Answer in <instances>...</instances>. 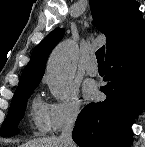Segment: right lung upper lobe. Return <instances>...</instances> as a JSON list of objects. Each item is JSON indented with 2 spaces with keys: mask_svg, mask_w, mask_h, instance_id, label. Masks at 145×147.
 <instances>
[{
  "mask_svg": "<svg viewBox=\"0 0 145 147\" xmlns=\"http://www.w3.org/2000/svg\"><path fill=\"white\" fill-rule=\"evenodd\" d=\"M90 8L94 25L107 38L106 55L145 23L139 11V4L134 0H90ZM63 35L64 30L57 28L35 47L20 77L17 90L38 86L44 74L47 58Z\"/></svg>",
  "mask_w": 145,
  "mask_h": 147,
  "instance_id": "cb5924a9",
  "label": "right lung upper lobe"
}]
</instances>
